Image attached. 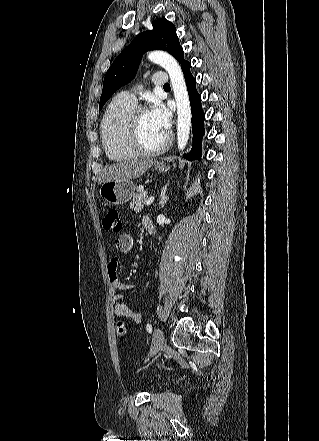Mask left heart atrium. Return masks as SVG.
I'll list each match as a JSON object with an SVG mask.
<instances>
[{"label": "left heart atrium", "instance_id": "1", "mask_svg": "<svg viewBox=\"0 0 319 441\" xmlns=\"http://www.w3.org/2000/svg\"><path fill=\"white\" fill-rule=\"evenodd\" d=\"M149 115L152 118L155 125L165 134H168L171 126L170 114L167 109L157 103L149 111Z\"/></svg>", "mask_w": 319, "mask_h": 441}]
</instances>
